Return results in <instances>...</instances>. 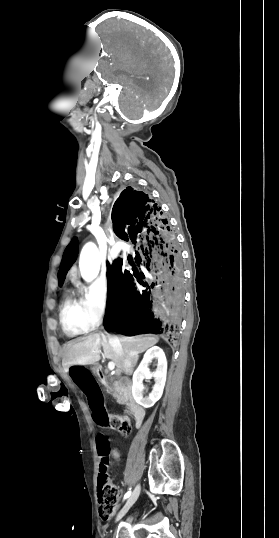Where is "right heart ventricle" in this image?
Segmentation results:
<instances>
[{"mask_svg":"<svg viewBox=\"0 0 279 538\" xmlns=\"http://www.w3.org/2000/svg\"><path fill=\"white\" fill-rule=\"evenodd\" d=\"M61 220L59 209H57L52 221H49V226L54 224L56 230H58L57 232H60V236L62 238H66L70 230L69 227H66L61 231ZM86 229L90 231L93 229V227L89 226L86 227ZM59 316L63 331L68 336L85 333L89 330L84 314V299L82 297L77 298L73 295V293L69 292L60 307Z\"/></svg>","mask_w":279,"mask_h":538,"instance_id":"e07e8e85","label":"right heart ventricle"}]
</instances>
